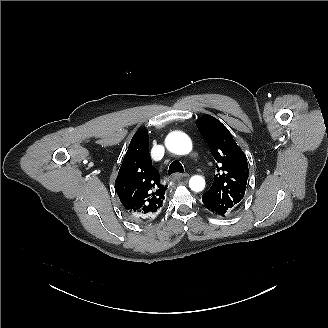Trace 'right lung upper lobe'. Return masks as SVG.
<instances>
[{
  "label": "right lung upper lobe",
  "mask_w": 328,
  "mask_h": 328,
  "mask_svg": "<svg viewBox=\"0 0 328 328\" xmlns=\"http://www.w3.org/2000/svg\"><path fill=\"white\" fill-rule=\"evenodd\" d=\"M148 148V130L141 129L134 134L115 181L117 194L127 213L141 221L160 214L168 187L160 183Z\"/></svg>",
  "instance_id": "cb5924a9"
}]
</instances>
